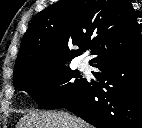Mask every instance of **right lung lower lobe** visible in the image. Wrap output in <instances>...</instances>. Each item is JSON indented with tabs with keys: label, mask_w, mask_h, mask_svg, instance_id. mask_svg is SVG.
Here are the masks:
<instances>
[{
	"label": "right lung lower lobe",
	"mask_w": 142,
	"mask_h": 128,
	"mask_svg": "<svg viewBox=\"0 0 142 128\" xmlns=\"http://www.w3.org/2000/svg\"><path fill=\"white\" fill-rule=\"evenodd\" d=\"M93 67L98 82L87 80L63 108L97 128H142V46Z\"/></svg>",
	"instance_id": "obj_1"
}]
</instances>
